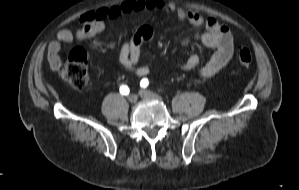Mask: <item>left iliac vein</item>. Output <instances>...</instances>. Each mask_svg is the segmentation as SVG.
I'll list each match as a JSON object with an SVG mask.
<instances>
[{"instance_id": "1", "label": "left iliac vein", "mask_w": 299, "mask_h": 190, "mask_svg": "<svg viewBox=\"0 0 299 190\" xmlns=\"http://www.w3.org/2000/svg\"><path fill=\"white\" fill-rule=\"evenodd\" d=\"M139 95L142 97V98H146V99H155V100H158V101H162L161 97L158 96L157 94L149 91V90H145V89H142L139 91Z\"/></svg>"}]
</instances>
